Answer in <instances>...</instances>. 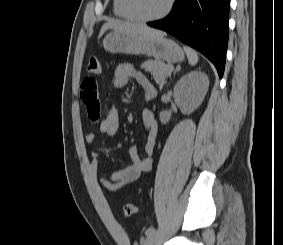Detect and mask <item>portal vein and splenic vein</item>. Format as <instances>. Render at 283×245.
<instances>
[{"instance_id":"18ae733b","label":"portal vein and splenic vein","mask_w":283,"mask_h":245,"mask_svg":"<svg viewBox=\"0 0 283 245\" xmlns=\"http://www.w3.org/2000/svg\"><path fill=\"white\" fill-rule=\"evenodd\" d=\"M171 71H172V68L170 69L169 74L171 73Z\"/></svg>"}]
</instances>
